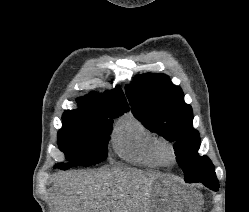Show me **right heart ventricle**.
I'll return each mask as SVG.
<instances>
[{"mask_svg":"<svg viewBox=\"0 0 249 212\" xmlns=\"http://www.w3.org/2000/svg\"><path fill=\"white\" fill-rule=\"evenodd\" d=\"M161 137L133 114L122 117L111 134L110 144L121 159L146 168L161 169L169 164L159 156Z\"/></svg>","mask_w":249,"mask_h":212,"instance_id":"1","label":"right heart ventricle"}]
</instances>
